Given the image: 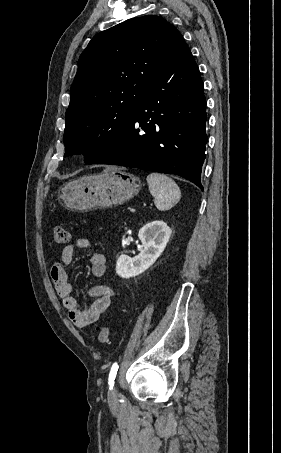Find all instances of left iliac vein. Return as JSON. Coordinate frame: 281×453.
<instances>
[{
  "instance_id": "1",
  "label": "left iliac vein",
  "mask_w": 281,
  "mask_h": 453,
  "mask_svg": "<svg viewBox=\"0 0 281 453\" xmlns=\"http://www.w3.org/2000/svg\"><path fill=\"white\" fill-rule=\"evenodd\" d=\"M109 392H110L111 394H112V393L115 394L117 391H116L115 389H114V390L111 389Z\"/></svg>"
}]
</instances>
